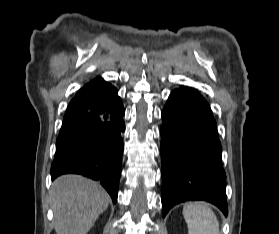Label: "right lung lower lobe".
<instances>
[{
  "label": "right lung lower lobe",
  "instance_id": "98d812e1",
  "mask_svg": "<svg viewBox=\"0 0 279 234\" xmlns=\"http://www.w3.org/2000/svg\"><path fill=\"white\" fill-rule=\"evenodd\" d=\"M124 108L117 89L97 77L69 103L56 141L51 177L76 173L100 181L114 203L123 153Z\"/></svg>",
  "mask_w": 279,
  "mask_h": 234
}]
</instances>
